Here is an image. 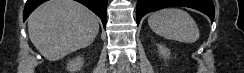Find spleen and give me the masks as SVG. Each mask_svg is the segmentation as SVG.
I'll return each instance as SVG.
<instances>
[{
	"instance_id": "1",
	"label": "spleen",
	"mask_w": 244,
	"mask_h": 73,
	"mask_svg": "<svg viewBox=\"0 0 244 73\" xmlns=\"http://www.w3.org/2000/svg\"><path fill=\"white\" fill-rule=\"evenodd\" d=\"M148 24L154 33L170 40L190 44L200 36L194 19L178 8H166L151 14Z\"/></svg>"
}]
</instances>
